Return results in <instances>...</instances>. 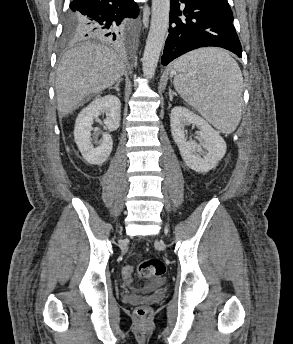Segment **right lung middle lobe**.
<instances>
[{
	"label": "right lung middle lobe",
	"mask_w": 293,
	"mask_h": 344,
	"mask_svg": "<svg viewBox=\"0 0 293 344\" xmlns=\"http://www.w3.org/2000/svg\"><path fill=\"white\" fill-rule=\"evenodd\" d=\"M85 21V17L78 13L69 12L63 32V41L71 42L82 39L81 26Z\"/></svg>",
	"instance_id": "right-lung-middle-lobe-1"
}]
</instances>
